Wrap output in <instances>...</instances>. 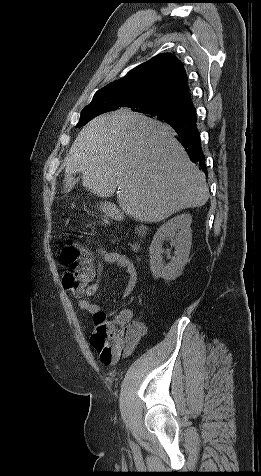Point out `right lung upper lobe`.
Listing matches in <instances>:
<instances>
[{
    "mask_svg": "<svg viewBox=\"0 0 261 476\" xmlns=\"http://www.w3.org/2000/svg\"><path fill=\"white\" fill-rule=\"evenodd\" d=\"M111 95L119 98V110L152 102L185 112L194 109L183 64L169 53L156 55L98 90L93 100Z\"/></svg>",
    "mask_w": 261,
    "mask_h": 476,
    "instance_id": "cb5924a9",
    "label": "right lung upper lobe"
}]
</instances>
